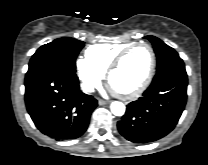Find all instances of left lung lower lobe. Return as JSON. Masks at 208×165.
<instances>
[{
    "label": "left lung lower lobe",
    "instance_id": "left-lung-lower-lobe-1",
    "mask_svg": "<svg viewBox=\"0 0 208 165\" xmlns=\"http://www.w3.org/2000/svg\"><path fill=\"white\" fill-rule=\"evenodd\" d=\"M187 73L182 60L157 70L150 87L127 105L118 130L135 143L156 141L171 132L185 108Z\"/></svg>",
    "mask_w": 208,
    "mask_h": 165
}]
</instances>
